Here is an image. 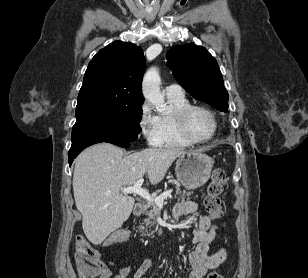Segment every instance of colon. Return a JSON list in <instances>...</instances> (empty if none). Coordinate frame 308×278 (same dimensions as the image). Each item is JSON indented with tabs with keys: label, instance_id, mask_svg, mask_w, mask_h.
<instances>
[{
	"label": "colon",
	"instance_id": "colon-1",
	"mask_svg": "<svg viewBox=\"0 0 308 278\" xmlns=\"http://www.w3.org/2000/svg\"><path fill=\"white\" fill-rule=\"evenodd\" d=\"M226 182V172L222 169H215L204 198V206L213 218L222 216L221 196ZM128 235V230L124 228L113 233L109 240L111 243L125 242ZM106 244L109 245L110 243L107 242ZM75 259L80 278H99L102 270L100 253L81 235L76 238ZM208 278H222V276L219 272L213 271Z\"/></svg>",
	"mask_w": 308,
	"mask_h": 278
}]
</instances>
